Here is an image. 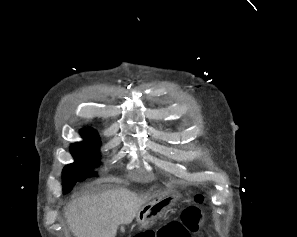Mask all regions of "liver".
Here are the masks:
<instances>
[{
	"label": "liver",
	"instance_id": "liver-1",
	"mask_svg": "<svg viewBox=\"0 0 297 237\" xmlns=\"http://www.w3.org/2000/svg\"><path fill=\"white\" fill-rule=\"evenodd\" d=\"M145 199L126 188L81 196L68 204L65 217L75 237H115L130 224Z\"/></svg>",
	"mask_w": 297,
	"mask_h": 237
}]
</instances>
